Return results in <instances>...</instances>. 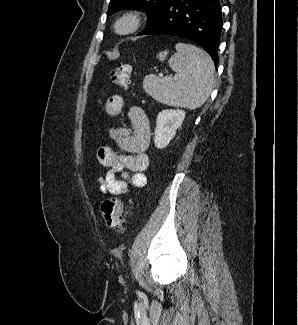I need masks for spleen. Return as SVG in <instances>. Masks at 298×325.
I'll return each mask as SVG.
<instances>
[{"label": "spleen", "mask_w": 298, "mask_h": 325, "mask_svg": "<svg viewBox=\"0 0 298 325\" xmlns=\"http://www.w3.org/2000/svg\"><path fill=\"white\" fill-rule=\"evenodd\" d=\"M174 54L168 62L170 68L175 70V76H156L146 74L142 86L154 100L168 104V106H181V108H199L206 102L213 88L215 66L214 62L205 52L194 44L177 42ZM168 50L157 54L159 60H165Z\"/></svg>", "instance_id": "1"}]
</instances>
